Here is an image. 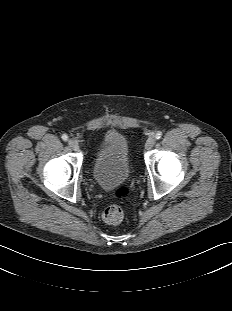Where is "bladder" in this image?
<instances>
[{
  "label": "bladder",
  "instance_id": "31cf9c89",
  "mask_svg": "<svg viewBox=\"0 0 232 311\" xmlns=\"http://www.w3.org/2000/svg\"><path fill=\"white\" fill-rule=\"evenodd\" d=\"M131 171L129 145L116 130L105 132L99 143L91 169L93 180L103 189L123 186Z\"/></svg>",
  "mask_w": 232,
  "mask_h": 311
}]
</instances>
